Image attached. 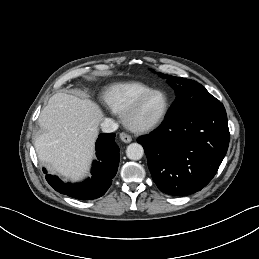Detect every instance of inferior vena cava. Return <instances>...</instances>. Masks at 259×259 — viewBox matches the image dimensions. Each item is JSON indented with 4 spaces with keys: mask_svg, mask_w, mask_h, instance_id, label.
Returning a JSON list of instances; mask_svg holds the SVG:
<instances>
[{
    "mask_svg": "<svg viewBox=\"0 0 259 259\" xmlns=\"http://www.w3.org/2000/svg\"><path fill=\"white\" fill-rule=\"evenodd\" d=\"M100 127L103 132L111 133L118 129V124L110 118H105L101 122Z\"/></svg>",
    "mask_w": 259,
    "mask_h": 259,
    "instance_id": "602c4592",
    "label": "inferior vena cava"
}]
</instances>
